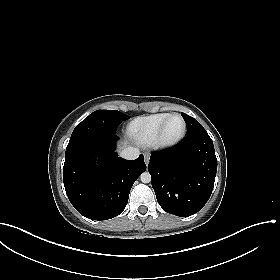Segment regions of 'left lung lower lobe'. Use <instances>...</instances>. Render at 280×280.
<instances>
[{"label":"left lung lower lobe","mask_w":280,"mask_h":280,"mask_svg":"<svg viewBox=\"0 0 280 280\" xmlns=\"http://www.w3.org/2000/svg\"><path fill=\"white\" fill-rule=\"evenodd\" d=\"M148 170L162 209L181 217L193 215L203 208L214 187L213 141L208 134L185 137L171 149L152 152Z\"/></svg>","instance_id":"1"}]
</instances>
